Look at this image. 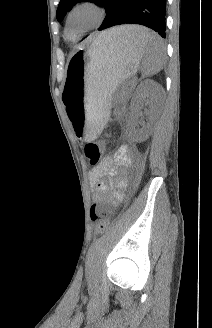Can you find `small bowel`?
<instances>
[{
	"label": "small bowel",
	"instance_id": "c3829d8e",
	"mask_svg": "<svg viewBox=\"0 0 212 328\" xmlns=\"http://www.w3.org/2000/svg\"><path fill=\"white\" fill-rule=\"evenodd\" d=\"M130 164L129 149L126 146H121L113 155L104 157L90 170L88 178L93 187L95 202H105L114 207L123 201L124 190L128 183L127 169ZM118 168L120 169L118 170ZM105 175L117 176L116 189L109 197H106L108 185L102 179Z\"/></svg>",
	"mask_w": 212,
	"mask_h": 328
}]
</instances>
